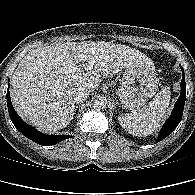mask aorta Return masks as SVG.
<instances>
[{
	"instance_id": "762f6f07",
	"label": "aorta",
	"mask_w": 195,
	"mask_h": 195,
	"mask_svg": "<svg viewBox=\"0 0 195 195\" xmlns=\"http://www.w3.org/2000/svg\"><path fill=\"white\" fill-rule=\"evenodd\" d=\"M93 106L96 110H103L107 107V102L104 99H97L93 103Z\"/></svg>"
}]
</instances>
